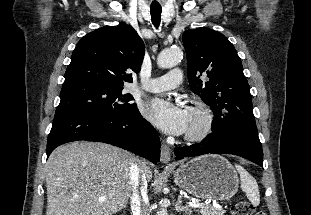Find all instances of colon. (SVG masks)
<instances>
[{
	"label": "colon",
	"instance_id": "1",
	"mask_svg": "<svg viewBox=\"0 0 311 215\" xmlns=\"http://www.w3.org/2000/svg\"><path fill=\"white\" fill-rule=\"evenodd\" d=\"M233 215H266L263 211H257L255 207L248 201H240L232 207Z\"/></svg>",
	"mask_w": 311,
	"mask_h": 215
}]
</instances>
